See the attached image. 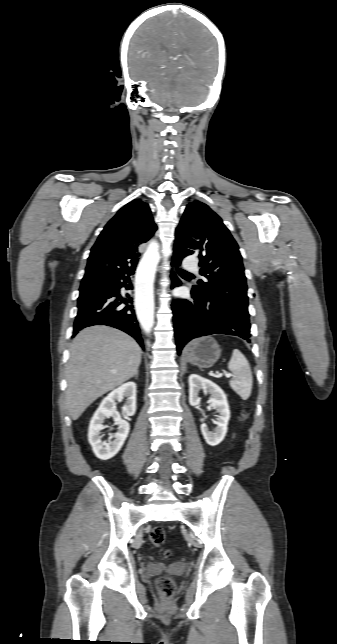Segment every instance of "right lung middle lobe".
Instances as JSON below:
<instances>
[{
  "mask_svg": "<svg viewBox=\"0 0 337 644\" xmlns=\"http://www.w3.org/2000/svg\"><path fill=\"white\" fill-rule=\"evenodd\" d=\"M108 280L102 281H91L86 283H81L80 286V296L78 301L84 300L92 295L98 293L99 291L105 289L108 286Z\"/></svg>",
  "mask_w": 337,
  "mask_h": 644,
  "instance_id": "obj_1",
  "label": "right lung middle lobe"
}]
</instances>
